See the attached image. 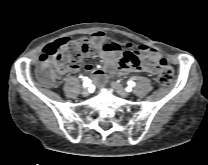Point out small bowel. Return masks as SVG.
Instances as JSON below:
<instances>
[{
  "label": "small bowel",
  "instance_id": "small-bowel-1",
  "mask_svg": "<svg viewBox=\"0 0 208 165\" xmlns=\"http://www.w3.org/2000/svg\"><path fill=\"white\" fill-rule=\"evenodd\" d=\"M90 41L95 46L92 54L98 53L104 62L102 68H97L92 64H85L84 69L93 74L96 81H103L106 75L111 72L122 74L130 72H145L151 75L157 73L158 52L147 45H140L137 49L122 51V46L118 42H110L109 35L105 31H96L90 35ZM131 48V45H128ZM130 52L135 59H125V54ZM141 57L151 60V63L142 62ZM58 69L62 73H75L80 71V66L74 65L71 61L62 62Z\"/></svg>",
  "mask_w": 208,
  "mask_h": 165
}]
</instances>
